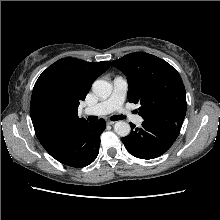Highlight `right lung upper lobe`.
<instances>
[{
    "label": "right lung upper lobe",
    "instance_id": "1",
    "mask_svg": "<svg viewBox=\"0 0 220 220\" xmlns=\"http://www.w3.org/2000/svg\"><path fill=\"white\" fill-rule=\"evenodd\" d=\"M110 61L87 62L63 58L49 66L37 79L31 97L30 113L36 136L48 153L57 149L86 120L77 116L92 83L109 67ZM50 98L58 113L53 118L38 114L41 99Z\"/></svg>",
    "mask_w": 220,
    "mask_h": 220
}]
</instances>
